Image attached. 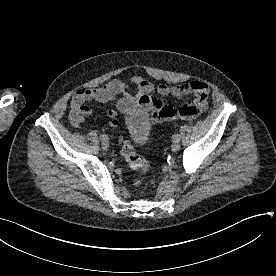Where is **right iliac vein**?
<instances>
[{
	"mask_svg": "<svg viewBox=\"0 0 276 276\" xmlns=\"http://www.w3.org/2000/svg\"><path fill=\"white\" fill-rule=\"evenodd\" d=\"M101 146L104 150H107L109 148L108 140H102Z\"/></svg>",
	"mask_w": 276,
	"mask_h": 276,
	"instance_id": "1",
	"label": "right iliac vein"
}]
</instances>
